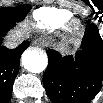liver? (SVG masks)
I'll return each mask as SVG.
<instances>
[{"label": "liver", "mask_w": 103, "mask_h": 103, "mask_svg": "<svg viewBox=\"0 0 103 103\" xmlns=\"http://www.w3.org/2000/svg\"><path fill=\"white\" fill-rule=\"evenodd\" d=\"M28 34H29L28 25L27 23H23L20 24L19 28L14 30V32L7 37V40L11 41L18 39V41L20 42L23 40L24 37L28 36Z\"/></svg>", "instance_id": "liver-1"}]
</instances>
